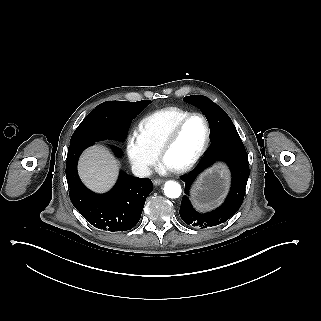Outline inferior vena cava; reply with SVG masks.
I'll list each match as a JSON object with an SVG mask.
<instances>
[{"label":"inferior vena cava","mask_w":321,"mask_h":321,"mask_svg":"<svg viewBox=\"0 0 321 321\" xmlns=\"http://www.w3.org/2000/svg\"><path fill=\"white\" fill-rule=\"evenodd\" d=\"M132 173L137 177H148L152 172L148 166L137 163L132 165Z\"/></svg>","instance_id":"1"}]
</instances>
